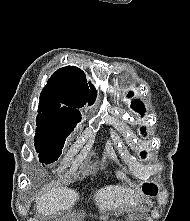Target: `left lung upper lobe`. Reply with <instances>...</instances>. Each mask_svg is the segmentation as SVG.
Listing matches in <instances>:
<instances>
[{"mask_svg":"<svg viewBox=\"0 0 190 221\" xmlns=\"http://www.w3.org/2000/svg\"><path fill=\"white\" fill-rule=\"evenodd\" d=\"M130 95H132V93H130ZM131 106L137 112H141V113L145 112L144 105L139 100H135ZM142 130L144 131L145 129L142 128ZM142 154L144 155L145 153H142ZM142 189L147 195H156L158 191L156 185L154 184H144Z\"/></svg>","mask_w":190,"mask_h":221,"instance_id":"5c2ea615","label":"left lung upper lobe"}]
</instances>
